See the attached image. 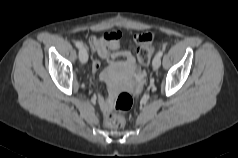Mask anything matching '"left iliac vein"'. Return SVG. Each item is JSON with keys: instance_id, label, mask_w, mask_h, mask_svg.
I'll return each instance as SVG.
<instances>
[{"instance_id": "obj_1", "label": "left iliac vein", "mask_w": 238, "mask_h": 158, "mask_svg": "<svg viewBox=\"0 0 238 158\" xmlns=\"http://www.w3.org/2000/svg\"><path fill=\"white\" fill-rule=\"evenodd\" d=\"M161 65V58L159 56H155L152 61V66L154 70H157Z\"/></svg>"}]
</instances>
